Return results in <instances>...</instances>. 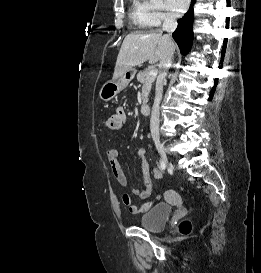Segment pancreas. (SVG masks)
Segmentation results:
<instances>
[{"label": "pancreas", "mask_w": 261, "mask_h": 273, "mask_svg": "<svg viewBox=\"0 0 261 273\" xmlns=\"http://www.w3.org/2000/svg\"><path fill=\"white\" fill-rule=\"evenodd\" d=\"M156 77L148 75V71H140L137 74V80L143 84L142 86V101L147 103L148 95L150 93L151 87L155 81Z\"/></svg>", "instance_id": "cf45deb5"}]
</instances>
